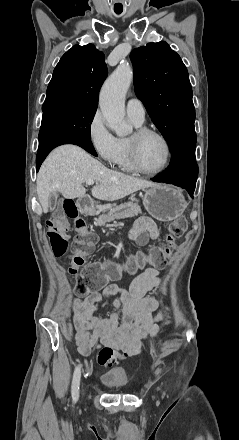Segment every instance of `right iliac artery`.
<instances>
[{"label":"right iliac artery","instance_id":"1","mask_svg":"<svg viewBox=\"0 0 239 440\" xmlns=\"http://www.w3.org/2000/svg\"><path fill=\"white\" fill-rule=\"evenodd\" d=\"M80 377H81V369L80 366H77L73 374V380L71 386L72 398L74 403L78 400L79 397Z\"/></svg>","mask_w":239,"mask_h":440}]
</instances>
